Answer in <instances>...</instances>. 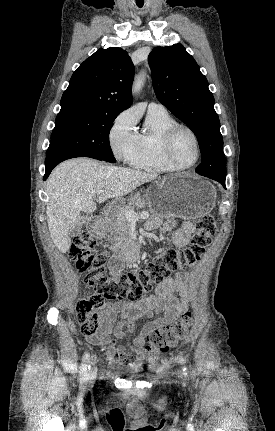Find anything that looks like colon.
I'll use <instances>...</instances> for the list:
<instances>
[{"label": "colon", "instance_id": "colon-1", "mask_svg": "<svg viewBox=\"0 0 275 431\" xmlns=\"http://www.w3.org/2000/svg\"><path fill=\"white\" fill-rule=\"evenodd\" d=\"M216 232L212 215H204L196 221V231L191 245L183 249L167 248L157 253L142 267L109 275L106 272V256L95 251V241L87 232L74 238L70 256L76 268L85 274L86 283L95 290L89 298L80 300L75 308V318L86 337H94L103 327L105 300H134L160 284L173 272L192 267L205 252ZM192 316L185 312L172 323L150 331L147 335L146 358L155 362L162 353L184 340L191 329Z\"/></svg>", "mask_w": 275, "mask_h": 431}]
</instances>
